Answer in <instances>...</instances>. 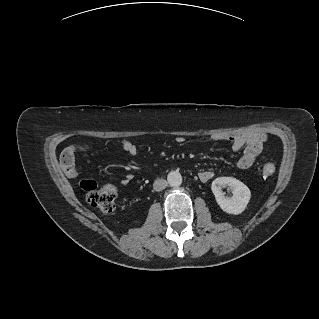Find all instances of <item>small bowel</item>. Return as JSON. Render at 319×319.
Wrapping results in <instances>:
<instances>
[{
  "instance_id": "c3829d8e",
  "label": "small bowel",
  "mask_w": 319,
  "mask_h": 319,
  "mask_svg": "<svg viewBox=\"0 0 319 319\" xmlns=\"http://www.w3.org/2000/svg\"><path fill=\"white\" fill-rule=\"evenodd\" d=\"M215 142H227L230 144L231 149L234 152L243 150L241 157L237 161V167L241 170L250 168L257 157L260 155L263 147V141L265 140V134L263 132H229L225 134H216L213 137ZM121 145L123 150L130 154L136 155L137 147L128 139H122ZM214 176V173L209 170H202L197 174L198 179L201 182H208ZM131 176H126L121 184L127 185Z\"/></svg>"
}]
</instances>
